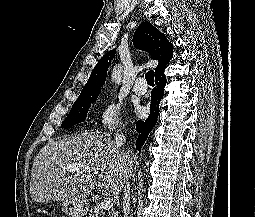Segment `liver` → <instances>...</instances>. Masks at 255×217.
Returning a JSON list of instances; mask_svg holds the SVG:
<instances>
[{
    "label": "liver",
    "mask_w": 255,
    "mask_h": 217,
    "mask_svg": "<svg viewBox=\"0 0 255 217\" xmlns=\"http://www.w3.org/2000/svg\"><path fill=\"white\" fill-rule=\"evenodd\" d=\"M125 154L130 175L133 161ZM120 157L111 135L101 132H83L50 142L34 159L31 198L39 203L82 200L95 186L96 180L91 172L99 173L97 186L102 193L118 195L125 183ZM72 164H80L86 171L79 170L66 176V168Z\"/></svg>",
    "instance_id": "6515ba94"
}]
</instances>
